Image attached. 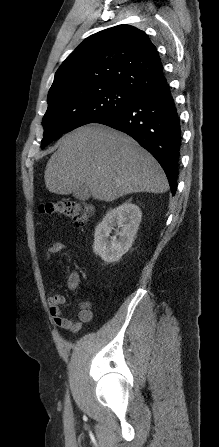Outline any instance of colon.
<instances>
[{
	"label": "colon",
	"mask_w": 219,
	"mask_h": 447,
	"mask_svg": "<svg viewBox=\"0 0 219 447\" xmlns=\"http://www.w3.org/2000/svg\"><path fill=\"white\" fill-rule=\"evenodd\" d=\"M40 212L47 216L66 217L76 226H82L90 217L91 208L84 201L63 198L44 202L40 205Z\"/></svg>",
	"instance_id": "obj_1"
}]
</instances>
